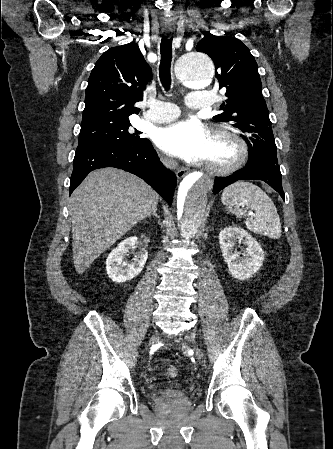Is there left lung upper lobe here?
<instances>
[{
    "label": "left lung upper lobe",
    "mask_w": 333,
    "mask_h": 449,
    "mask_svg": "<svg viewBox=\"0 0 333 449\" xmlns=\"http://www.w3.org/2000/svg\"><path fill=\"white\" fill-rule=\"evenodd\" d=\"M215 63L219 89L226 88L223 113L214 120L228 123L241 133L248 144L246 165H277V147L269 112L262 96V84L255 58L235 37L215 36L209 32L196 46Z\"/></svg>",
    "instance_id": "left-lung-upper-lobe-1"
}]
</instances>
